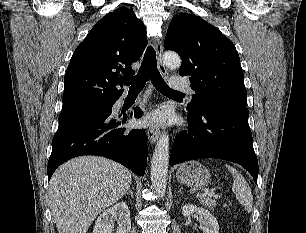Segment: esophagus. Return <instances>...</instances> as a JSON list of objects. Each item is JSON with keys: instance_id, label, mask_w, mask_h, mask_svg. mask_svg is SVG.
<instances>
[{"instance_id": "obj_1", "label": "esophagus", "mask_w": 306, "mask_h": 233, "mask_svg": "<svg viewBox=\"0 0 306 233\" xmlns=\"http://www.w3.org/2000/svg\"><path fill=\"white\" fill-rule=\"evenodd\" d=\"M153 44H154V48L156 50V54H157V65L159 70L161 71V73L163 75H167V69L162 61V53H163V43L162 40L160 39V37L155 36L153 38ZM160 135V131L158 128L155 127H150L147 130V137L150 141L151 144H154L157 139L159 138Z\"/></svg>"}]
</instances>
